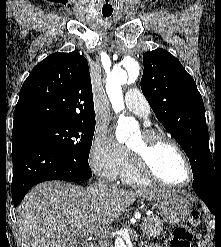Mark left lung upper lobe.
I'll return each instance as SVG.
<instances>
[{"instance_id":"left-lung-upper-lobe-1","label":"left lung upper lobe","mask_w":221,"mask_h":247,"mask_svg":"<svg viewBox=\"0 0 221 247\" xmlns=\"http://www.w3.org/2000/svg\"><path fill=\"white\" fill-rule=\"evenodd\" d=\"M141 89L157 119L189 158L193 178L214 169L202 97L193 78L168 51L143 55Z\"/></svg>"}]
</instances>
